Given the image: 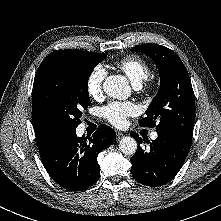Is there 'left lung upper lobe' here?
<instances>
[{
    "mask_svg": "<svg viewBox=\"0 0 221 221\" xmlns=\"http://www.w3.org/2000/svg\"><path fill=\"white\" fill-rule=\"evenodd\" d=\"M132 50L148 54L156 63L161 78L159 91L140 126H156V132L177 133L192 139L195 97L189 74L179 56L157 44H142Z\"/></svg>",
    "mask_w": 221,
    "mask_h": 221,
    "instance_id": "1",
    "label": "left lung upper lobe"
}]
</instances>
